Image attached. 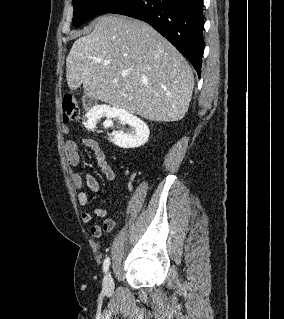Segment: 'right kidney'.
Listing matches in <instances>:
<instances>
[{
    "instance_id": "obj_1",
    "label": "right kidney",
    "mask_w": 284,
    "mask_h": 319,
    "mask_svg": "<svg viewBox=\"0 0 284 319\" xmlns=\"http://www.w3.org/2000/svg\"><path fill=\"white\" fill-rule=\"evenodd\" d=\"M105 116L107 119L105 126L111 124L112 119H118L120 122L128 124L129 130L113 131L110 134V140L121 148H137L144 145L149 138V128L144 121L137 116L127 112L126 110L107 105H98L88 111L84 119V126L88 130H93L96 127L97 121Z\"/></svg>"
}]
</instances>
